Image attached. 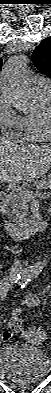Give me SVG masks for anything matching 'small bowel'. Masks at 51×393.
Wrapping results in <instances>:
<instances>
[{
    "label": "small bowel",
    "mask_w": 51,
    "mask_h": 393,
    "mask_svg": "<svg viewBox=\"0 0 51 393\" xmlns=\"http://www.w3.org/2000/svg\"><path fill=\"white\" fill-rule=\"evenodd\" d=\"M40 302H41V300L38 295L30 294L20 300V305L27 306V307H37L40 305ZM21 311H22L21 308L17 307L11 311V315L18 316L21 314ZM10 336H11V334L8 331H5L3 333V338L5 340H8L10 338Z\"/></svg>",
    "instance_id": "c3829d8e"
}]
</instances>
